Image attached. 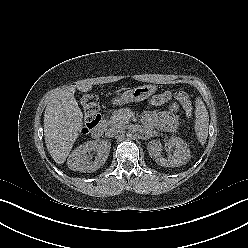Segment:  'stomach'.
<instances>
[{"instance_id":"obj_1","label":"stomach","mask_w":248,"mask_h":248,"mask_svg":"<svg viewBox=\"0 0 248 248\" xmlns=\"http://www.w3.org/2000/svg\"><path fill=\"white\" fill-rule=\"evenodd\" d=\"M155 85H143L125 91L121 96L115 98L112 102L114 105H123L130 102H139L147 99L156 91Z\"/></svg>"}]
</instances>
